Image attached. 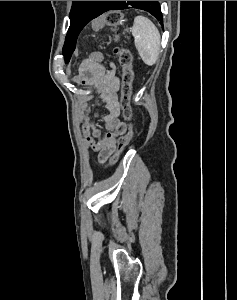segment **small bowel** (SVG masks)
Instances as JSON below:
<instances>
[{
  "label": "small bowel",
  "mask_w": 237,
  "mask_h": 300,
  "mask_svg": "<svg viewBox=\"0 0 237 300\" xmlns=\"http://www.w3.org/2000/svg\"><path fill=\"white\" fill-rule=\"evenodd\" d=\"M76 81L89 86L100 94L102 106L106 110L102 114L105 135H102L100 129L92 122V117L98 115L93 114L90 107H84L81 110L84 141L87 147L99 153V160L104 162L115 150L117 139L126 131V124L119 119L120 80L116 67L112 63L108 67H104L101 64L96 65L83 61Z\"/></svg>",
  "instance_id": "small-bowel-1"
}]
</instances>
